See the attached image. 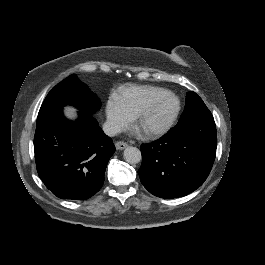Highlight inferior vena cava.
<instances>
[{
    "label": "inferior vena cava",
    "instance_id": "1",
    "mask_svg": "<svg viewBox=\"0 0 265 265\" xmlns=\"http://www.w3.org/2000/svg\"><path fill=\"white\" fill-rule=\"evenodd\" d=\"M103 130L108 136H115L122 131V126L114 120H107L103 125Z\"/></svg>",
    "mask_w": 265,
    "mask_h": 265
}]
</instances>
